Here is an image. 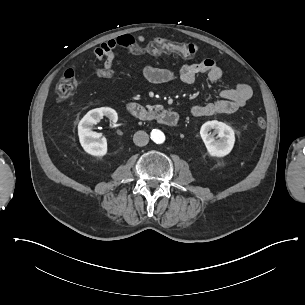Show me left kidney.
Masks as SVG:
<instances>
[{"instance_id":"1","label":"left kidney","mask_w":305,"mask_h":305,"mask_svg":"<svg viewBox=\"0 0 305 305\" xmlns=\"http://www.w3.org/2000/svg\"><path fill=\"white\" fill-rule=\"evenodd\" d=\"M212 129H214V131L211 134L209 132ZM215 134H218L219 140H215ZM200 135L211 156L223 157L229 154L235 141L233 129L217 120L204 123L201 127Z\"/></svg>"}]
</instances>
